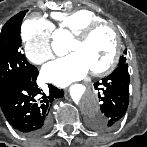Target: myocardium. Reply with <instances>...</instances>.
I'll return each instance as SVG.
<instances>
[{
    "mask_svg": "<svg viewBox=\"0 0 147 147\" xmlns=\"http://www.w3.org/2000/svg\"><path fill=\"white\" fill-rule=\"evenodd\" d=\"M102 29H110L113 32L115 36V50L111 60L105 67L99 70L90 71V74L95 77H101L111 73L116 68L120 60L122 53V41L118 30L113 24L104 21L93 24L74 36V41L84 43L87 42L97 31Z\"/></svg>",
    "mask_w": 147,
    "mask_h": 147,
    "instance_id": "myocardium-1",
    "label": "myocardium"
}]
</instances>
